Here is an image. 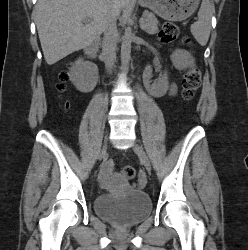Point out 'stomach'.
<instances>
[{"label":"stomach","mask_w":248,"mask_h":250,"mask_svg":"<svg viewBox=\"0 0 248 250\" xmlns=\"http://www.w3.org/2000/svg\"><path fill=\"white\" fill-rule=\"evenodd\" d=\"M160 17L169 21H183L190 17L198 7L199 0H139Z\"/></svg>","instance_id":"1"}]
</instances>
